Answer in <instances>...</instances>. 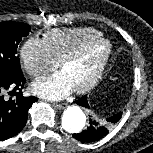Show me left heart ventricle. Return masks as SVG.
Instances as JSON below:
<instances>
[{
    "instance_id": "1",
    "label": "left heart ventricle",
    "mask_w": 153,
    "mask_h": 153,
    "mask_svg": "<svg viewBox=\"0 0 153 153\" xmlns=\"http://www.w3.org/2000/svg\"><path fill=\"white\" fill-rule=\"evenodd\" d=\"M103 50V46H95L83 58L64 67L62 71L68 77L73 88L82 85L90 78Z\"/></svg>"
}]
</instances>
